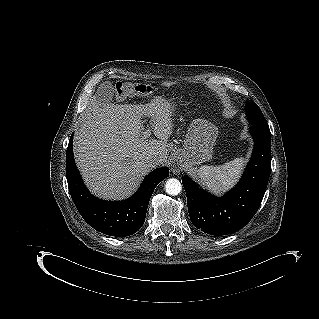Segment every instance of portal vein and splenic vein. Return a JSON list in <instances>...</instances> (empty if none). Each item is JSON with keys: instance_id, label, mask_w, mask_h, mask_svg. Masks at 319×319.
I'll list each match as a JSON object with an SVG mask.
<instances>
[{"instance_id": "1", "label": "portal vein and splenic vein", "mask_w": 319, "mask_h": 319, "mask_svg": "<svg viewBox=\"0 0 319 319\" xmlns=\"http://www.w3.org/2000/svg\"><path fill=\"white\" fill-rule=\"evenodd\" d=\"M151 132L149 129H147L144 133H143V137L146 139L150 136Z\"/></svg>"}]
</instances>
